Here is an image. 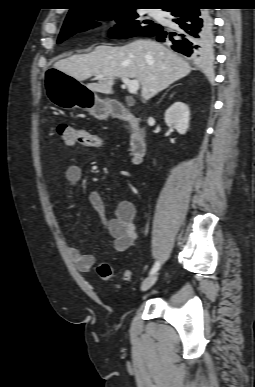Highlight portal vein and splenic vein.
Segmentation results:
<instances>
[{"label": "portal vein and splenic vein", "mask_w": 255, "mask_h": 387, "mask_svg": "<svg viewBox=\"0 0 255 387\" xmlns=\"http://www.w3.org/2000/svg\"><path fill=\"white\" fill-rule=\"evenodd\" d=\"M96 77H97V79H102L103 75L99 74ZM121 80L127 86L128 91H129L130 94L137 93V91H138V89L140 87L139 81L137 79L130 80L127 77H122Z\"/></svg>", "instance_id": "portal-vein-and-splenic-vein-1"}]
</instances>
